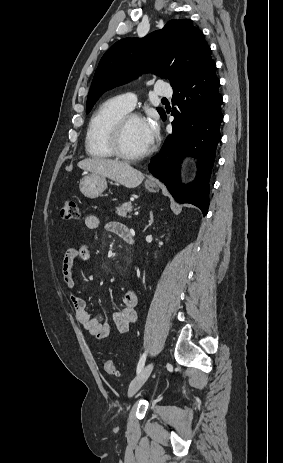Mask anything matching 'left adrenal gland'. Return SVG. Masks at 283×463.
<instances>
[{
  "label": "left adrenal gland",
  "mask_w": 283,
  "mask_h": 463,
  "mask_svg": "<svg viewBox=\"0 0 283 463\" xmlns=\"http://www.w3.org/2000/svg\"><path fill=\"white\" fill-rule=\"evenodd\" d=\"M153 222H154V217H153V212L151 211L150 212V220L148 221V225L145 227V229H147L149 226H151Z\"/></svg>",
  "instance_id": "left-adrenal-gland-1"
}]
</instances>
